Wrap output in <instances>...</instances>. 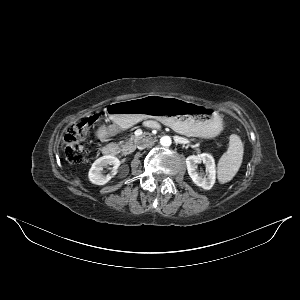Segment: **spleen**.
<instances>
[{
  "label": "spleen",
  "instance_id": "1",
  "mask_svg": "<svg viewBox=\"0 0 300 300\" xmlns=\"http://www.w3.org/2000/svg\"><path fill=\"white\" fill-rule=\"evenodd\" d=\"M243 144L236 134L230 136L229 147L218 162V181L221 184L233 179L238 172L243 159Z\"/></svg>",
  "mask_w": 300,
  "mask_h": 300
}]
</instances>
